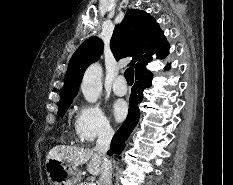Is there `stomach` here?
<instances>
[{
  "label": "stomach",
  "mask_w": 233,
  "mask_h": 185,
  "mask_svg": "<svg viewBox=\"0 0 233 185\" xmlns=\"http://www.w3.org/2000/svg\"><path fill=\"white\" fill-rule=\"evenodd\" d=\"M48 179L53 185H76L80 180V172L72 164L56 158L46 160Z\"/></svg>",
  "instance_id": "stomach-1"
}]
</instances>
